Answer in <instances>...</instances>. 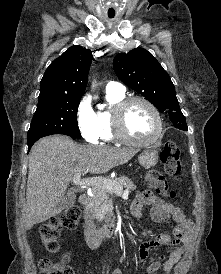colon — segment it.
I'll use <instances>...</instances> for the list:
<instances>
[{
	"label": "colon",
	"instance_id": "colon-1",
	"mask_svg": "<svg viewBox=\"0 0 221 274\" xmlns=\"http://www.w3.org/2000/svg\"><path fill=\"white\" fill-rule=\"evenodd\" d=\"M161 161L164 172L170 177H179L182 173L181 154L179 148L174 142H167L161 152ZM150 187L157 193L166 197H174L175 192L169 189L167 179L159 173H150L148 175ZM81 218V211L77 206L67 208L59 216L52 218L44 224L40 230V237L45 248L55 253L59 249L57 237L62 229H74L78 226ZM40 274H73L71 268L66 264L63 258L58 262L49 259H43L40 262Z\"/></svg>",
	"mask_w": 221,
	"mask_h": 274
}]
</instances>
